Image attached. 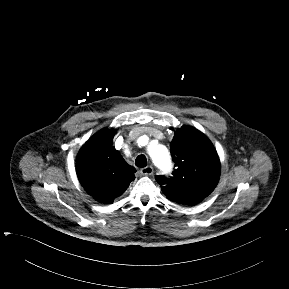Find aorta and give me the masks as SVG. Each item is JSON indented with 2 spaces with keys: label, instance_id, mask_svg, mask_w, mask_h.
Instances as JSON below:
<instances>
[{
  "label": "aorta",
  "instance_id": "obj_1",
  "mask_svg": "<svg viewBox=\"0 0 289 289\" xmlns=\"http://www.w3.org/2000/svg\"><path fill=\"white\" fill-rule=\"evenodd\" d=\"M149 155L155 166L160 169H166L170 165V155L163 146L149 147Z\"/></svg>",
  "mask_w": 289,
  "mask_h": 289
}]
</instances>
